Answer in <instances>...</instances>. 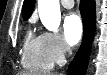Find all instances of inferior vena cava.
Wrapping results in <instances>:
<instances>
[{"instance_id": "inferior-vena-cava-1", "label": "inferior vena cava", "mask_w": 107, "mask_h": 75, "mask_svg": "<svg viewBox=\"0 0 107 75\" xmlns=\"http://www.w3.org/2000/svg\"><path fill=\"white\" fill-rule=\"evenodd\" d=\"M65 51L70 53L71 52V48L68 44L65 45Z\"/></svg>"}]
</instances>
